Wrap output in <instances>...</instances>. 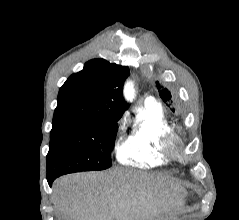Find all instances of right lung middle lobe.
Here are the masks:
<instances>
[{"label": "right lung middle lobe", "mask_w": 239, "mask_h": 220, "mask_svg": "<svg viewBox=\"0 0 239 220\" xmlns=\"http://www.w3.org/2000/svg\"><path fill=\"white\" fill-rule=\"evenodd\" d=\"M120 117L53 119L47 178L111 167Z\"/></svg>", "instance_id": "right-lung-middle-lobe-1"}]
</instances>
